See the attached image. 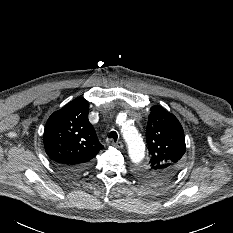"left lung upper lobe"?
<instances>
[{"label":"left lung upper lobe","mask_w":233,"mask_h":233,"mask_svg":"<svg viewBox=\"0 0 233 233\" xmlns=\"http://www.w3.org/2000/svg\"><path fill=\"white\" fill-rule=\"evenodd\" d=\"M146 141L149 165L141 177L152 183L165 182L179 170L186 151L185 138L178 119L163 107L154 105L148 118Z\"/></svg>","instance_id":"1"}]
</instances>
